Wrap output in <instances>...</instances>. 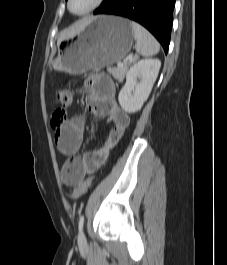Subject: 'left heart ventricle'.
<instances>
[{"label":"left heart ventricle","instance_id":"left-heart-ventricle-1","mask_svg":"<svg viewBox=\"0 0 227 265\" xmlns=\"http://www.w3.org/2000/svg\"><path fill=\"white\" fill-rule=\"evenodd\" d=\"M95 0H72L71 9L74 12H81L89 8Z\"/></svg>","mask_w":227,"mask_h":265}]
</instances>
